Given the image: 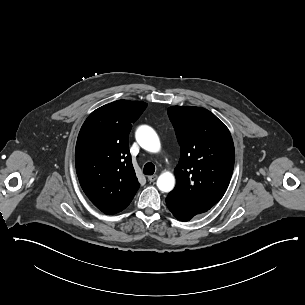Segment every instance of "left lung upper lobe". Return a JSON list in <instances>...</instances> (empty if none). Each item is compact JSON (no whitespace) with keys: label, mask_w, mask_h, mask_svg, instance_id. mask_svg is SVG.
I'll list each match as a JSON object with an SVG mask.
<instances>
[{"label":"left lung upper lobe","mask_w":305,"mask_h":305,"mask_svg":"<svg viewBox=\"0 0 305 305\" xmlns=\"http://www.w3.org/2000/svg\"><path fill=\"white\" fill-rule=\"evenodd\" d=\"M168 115L181 148L174 170L177 183L169 195L187 206L209 210L223 197L232 176L235 151L231 134L201 107L173 106Z\"/></svg>","instance_id":"left-lung-upper-lobe-1"}]
</instances>
